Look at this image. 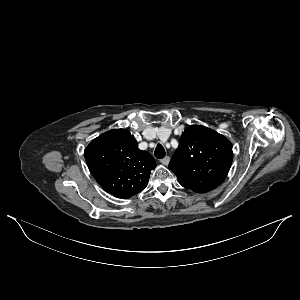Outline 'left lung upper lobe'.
<instances>
[{
    "instance_id": "obj_1",
    "label": "left lung upper lobe",
    "mask_w": 300,
    "mask_h": 300,
    "mask_svg": "<svg viewBox=\"0 0 300 300\" xmlns=\"http://www.w3.org/2000/svg\"><path fill=\"white\" fill-rule=\"evenodd\" d=\"M232 144L204 126H188L169 163L179 183L194 192L206 193L219 186L232 164Z\"/></svg>"
}]
</instances>
